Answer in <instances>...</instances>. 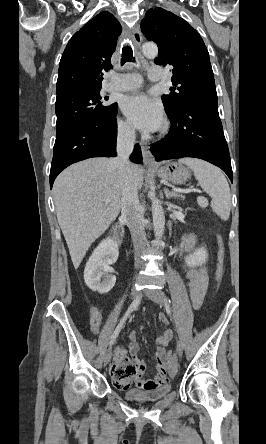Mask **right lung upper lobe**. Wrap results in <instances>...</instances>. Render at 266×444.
I'll use <instances>...</instances> for the list:
<instances>
[{"label": "right lung upper lobe", "instance_id": "1", "mask_svg": "<svg viewBox=\"0 0 266 444\" xmlns=\"http://www.w3.org/2000/svg\"><path fill=\"white\" fill-rule=\"evenodd\" d=\"M122 27L109 12L88 21L68 42L59 64L56 95L101 89L103 73L111 68Z\"/></svg>", "mask_w": 266, "mask_h": 444}]
</instances>
